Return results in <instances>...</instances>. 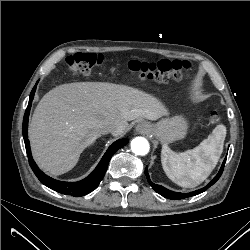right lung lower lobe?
Segmentation results:
<instances>
[{
    "label": "right lung lower lobe",
    "mask_w": 250,
    "mask_h": 250,
    "mask_svg": "<svg viewBox=\"0 0 250 250\" xmlns=\"http://www.w3.org/2000/svg\"><path fill=\"white\" fill-rule=\"evenodd\" d=\"M35 90H36V86H34L30 94L29 103L26 108L24 119H23V137H24V142H25V147H26V152L28 155L30 167L32 168L37 178L41 181V183H43L50 189L57 191L61 194L79 197V196H83L92 192L94 189H96L100 181L103 179L111 157L114 155V153L118 149L122 148L128 143V139H120L114 142L108 148L107 152L104 154V156L102 157L101 161L99 162L97 167L94 169V171L88 177H86L85 179L81 181L63 182V181H58L47 176L38 168V166L34 162L31 156V149H30V144L28 140V116L30 113V108H31L32 100L34 98Z\"/></svg>",
    "instance_id": "obj_1"
}]
</instances>
